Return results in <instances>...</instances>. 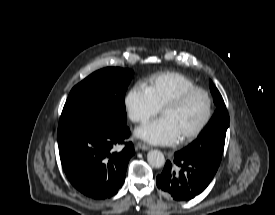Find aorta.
Instances as JSON below:
<instances>
[{"mask_svg": "<svg viewBox=\"0 0 275 215\" xmlns=\"http://www.w3.org/2000/svg\"><path fill=\"white\" fill-rule=\"evenodd\" d=\"M147 160L152 167L161 168L165 164V157L159 150H151L148 153Z\"/></svg>", "mask_w": 275, "mask_h": 215, "instance_id": "obj_1", "label": "aorta"}]
</instances>
